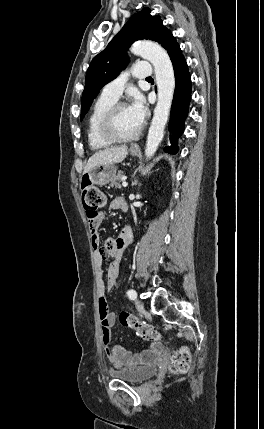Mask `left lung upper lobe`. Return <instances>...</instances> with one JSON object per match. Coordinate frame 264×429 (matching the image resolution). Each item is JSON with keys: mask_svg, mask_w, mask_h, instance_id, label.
<instances>
[{"mask_svg": "<svg viewBox=\"0 0 264 429\" xmlns=\"http://www.w3.org/2000/svg\"><path fill=\"white\" fill-rule=\"evenodd\" d=\"M150 12L149 8H144L134 14L107 47L91 61L82 94L81 120L88 112L100 89L113 80L127 65L126 52L130 45L140 39H150L161 43L169 32L164 27L160 16H151Z\"/></svg>", "mask_w": 264, "mask_h": 429, "instance_id": "left-lung-upper-lobe-1", "label": "left lung upper lobe"}]
</instances>
